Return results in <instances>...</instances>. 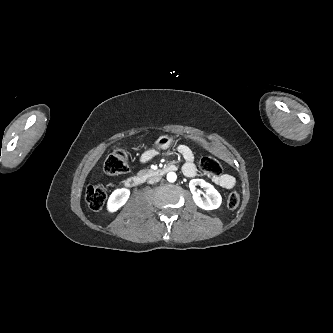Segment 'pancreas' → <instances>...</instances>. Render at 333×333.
Instances as JSON below:
<instances>
[{
  "instance_id": "1",
  "label": "pancreas",
  "mask_w": 333,
  "mask_h": 333,
  "mask_svg": "<svg viewBox=\"0 0 333 333\" xmlns=\"http://www.w3.org/2000/svg\"><path fill=\"white\" fill-rule=\"evenodd\" d=\"M146 173H147V170H141V171L138 172L137 175L142 177V176L146 175Z\"/></svg>"
}]
</instances>
